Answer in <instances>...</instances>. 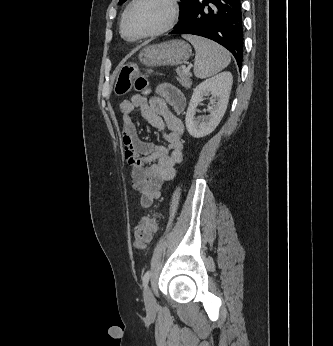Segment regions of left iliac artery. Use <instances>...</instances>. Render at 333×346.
I'll return each instance as SVG.
<instances>
[{
  "instance_id": "left-iliac-artery-1",
  "label": "left iliac artery",
  "mask_w": 333,
  "mask_h": 346,
  "mask_svg": "<svg viewBox=\"0 0 333 346\" xmlns=\"http://www.w3.org/2000/svg\"><path fill=\"white\" fill-rule=\"evenodd\" d=\"M149 278H150V271H146L145 274L142 277V283H143V287L146 288L149 282Z\"/></svg>"
}]
</instances>
